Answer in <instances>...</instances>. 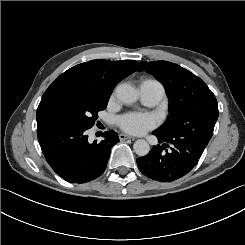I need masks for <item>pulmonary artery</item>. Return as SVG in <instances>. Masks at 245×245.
Wrapping results in <instances>:
<instances>
[{"label": "pulmonary artery", "mask_w": 245, "mask_h": 245, "mask_svg": "<svg viewBox=\"0 0 245 245\" xmlns=\"http://www.w3.org/2000/svg\"><path fill=\"white\" fill-rule=\"evenodd\" d=\"M142 102L148 106L156 105L164 96L161 84L155 80H146L138 88Z\"/></svg>", "instance_id": "1"}]
</instances>
